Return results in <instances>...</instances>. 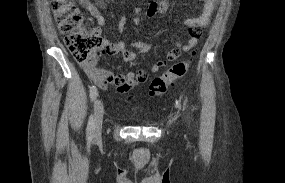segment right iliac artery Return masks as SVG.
<instances>
[{"instance_id":"1","label":"right iliac artery","mask_w":285,"mask_h":183,"mask_svg":"<svg viewBox=\"0 0 285 183\" xmlns=\"http://www.w3.org/2000/svg\"><path fill=\"white\" fill-rule=\"evenodd\" d=\"M97 94H98L97 88L95 86H92L90 88V98L92 101L96 98ZM93 132H94V119H93V116H90L88 125H87V139L89 141L92 140Z\"/></svg>"}]
</instances>
